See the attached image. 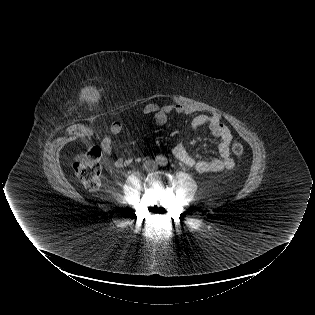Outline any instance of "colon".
Here are the masks:
<instances>
[{
  "label": "colon",
  "instance_id": "obj_1",
  "mask_svg": "<svg viewBox=\"0 0 315 315\" xmlns=\"http://www.w3.org/2000/svg\"><path fill=\"white\" fill-rule=\"evenodd\" d=\"M78 137H87L90 132L85 127H76L73 131ZM231 150L237 157L244 153L243 146L235 142ZM102 149L99 146H91L84 151H80L74 156V169L77 177L88 190H96L101 182L102 167L100 163Z\"/></svg>",
  "mask_w": 315,
  "mask_h": 315
}]
</instances>
